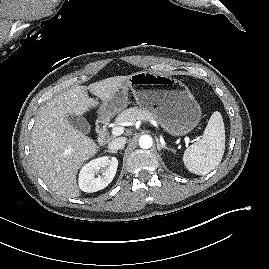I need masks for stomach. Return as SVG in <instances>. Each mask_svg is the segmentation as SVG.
<instances>
[{
	"label": "stomach",
	"mask_w": 269,
	"mask_h": 269,
	"mask_svg": "<svg viewBox=\"0 0 269 269\" xmlns=\"http://www.w3.org/2000/svg\"><path fill=\"white\" fill-rule=\"evenodd\" d=\"M127 87L131 89L139 107L149 111L172 136H184L200 122L201 108L190 90L175 78L149 71L130 75L125 87L102 103V119L110 118L127 106Z\"/></svg>",
	"instance_id": "0dacf381"
}]
</instances>
